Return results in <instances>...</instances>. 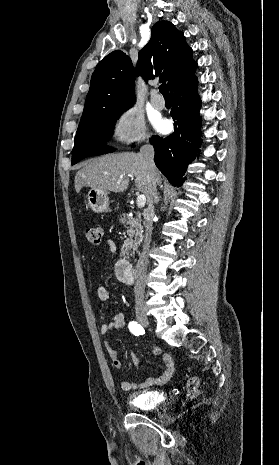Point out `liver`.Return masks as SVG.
<instances>
[{"mask_svg": "<svg viewBox=\"0 0 279 465\" xmlns=\"http://www.w3.org/2000/svg\"><path fill=\"white\" fill-rule=\"evenodd\" d=\"M122 176V178H120ZM135 177L136 190L143 193L147 199L149 194L148 172L139 153L108 154L89 160L75 176L77 193L83 187L124 192L129 186V177ZM158 183L161 174L157 170Z\"/></svg>", "mask_w": 279, "mask_h": 465, "instance_id": "liver-1", "label": "liver"}]
</instances>
